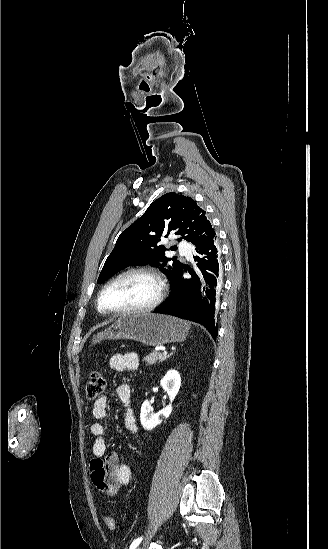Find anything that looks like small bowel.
I'll use <instances>...</instances> for the list:
<instances>
[{"label":"small bowel","mask_w":328,"mask_h":549,"mask_svg":"<svg viewBox=\"0 0 328 549\" xmlns=\"http://www.w3.org/2000/svg\"><path fill=\"white\" fill-rule=\"evenodd\" d=\"M109 367L116 372L134 371L139 367V357L134 352L117 353L109 359ZM117 396L125 406V426L131 432H137L138 427L134 410L131 406V389L128 384H121L117 388ZM108 398H98L92 408V415L96 419L90 426L94 436L92 446L93 458L90 461L92 481L95 486L108 496H113L122 487L131 482L132 472L128 465L120 463L116 452H107L104 439L105 427L103 421L107 417Z\"/></svg>","instance_id":"small-bowel-1"}]
</instances>
